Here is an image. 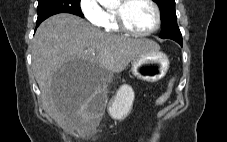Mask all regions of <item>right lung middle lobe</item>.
<instances>
[{
    "mask_svg": "<svg viewBox=\"0 0 227 142\" xmlns=\"http://www.w3.org/2000/svg\"><path fill=\"white\" fill-rule=\"evenodd\" d=\"M58 13H71L84 17L80 8V0H38L37 21L41 22Z\"/></svg>",
    "mask_w": 227,
    "mask_h": 142,
    "instance_id": "right-lung-middle-lobe-1",
    "label": "right lung middle lobe"
}]
</instances>
